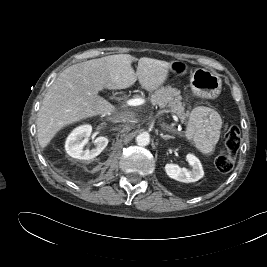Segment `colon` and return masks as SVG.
Listing matches in <instances>:
<instances>
[{"label":"colon","mask_w":267,"mask_h":267,"mask_svg":"<svg viewBox=\"0 0 267 267\" xmlns=\"http://www.w3.org/2000/svg\"><path fill=\"white\" fill-rule=\"evenodd\" d=\"M225 150L216 158V168L222 173L230 172L235 164L236 154L240 146V130L237 126H230L224 134Z\"/></svg>","instance_id":"5ec220e1"}]
</instances>
